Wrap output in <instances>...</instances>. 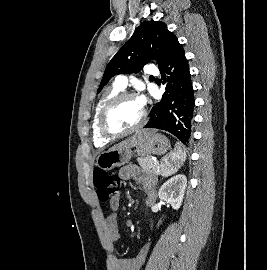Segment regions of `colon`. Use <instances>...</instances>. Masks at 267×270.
Here are the masks:
<instances>
[{"instance_id": "1", "label": "colon", "mask_w": 267, "mask_h": 270, "mask_svg": "<svg viewBox=\"0 0 267 270\" xmlns=\"http://www.w3.org/2000/svg\"><path fill=\"white\" fill-rule=\"evenodd\" d=\"M93 182L97 197L103 203L111 201L119 193L120 179L116 175L104 170H95Z\"/></svg>"}]
</instances>
